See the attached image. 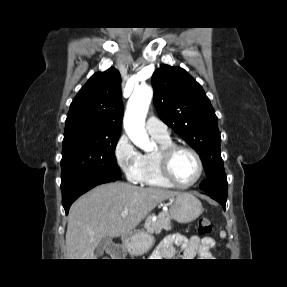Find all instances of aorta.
<instances>
[{
  "instance_id": "762f6f07",
  "label": "aorta",
  "mask_w": 287,
  "mask_h": 287,
  "mask_svg": "<svg viewBox=\"0 0 287 287\" xmlns=\"http://www.w3.org/2000/svg\"><path fill=\"white\" fill-rule=\"evenodd\" d=\"M152 97L151 87L136 88L128 100L123 120L124 129L129 139L145 152L152 151L155 146L145 130V119Z\"/></svg>"
}]
</instances>
